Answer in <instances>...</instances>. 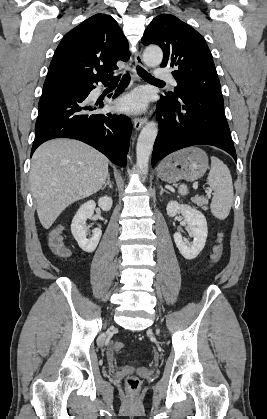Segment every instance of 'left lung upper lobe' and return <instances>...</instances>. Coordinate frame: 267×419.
Here are the masks:
<instances>
[{
    "label": "left lung upper lobe",
    "instance_id": "1",
    "mask_svg": "<svg viewBox=\"0 0 267 419\" xmlns=\"http://www.w3.org/2000/svg\"><path fill=\"white\" fill-rule=\"evenodd\" d=\"M144 45L157 44L163 50L161 67L173 69L177 80L170 100L203 90L221 91L211 52L201 34L170 14L155 17L144 32Z\"/></svg>",
    "mask_w": 267,
    "mask_h": 419
}]
</instances>
